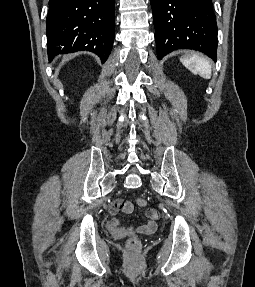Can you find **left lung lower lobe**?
Returning a JSON list of instances; mask_svg holds the SVG:
<instances>
[{
    "instance_id": "obj_1",
    "label": "left lung lower lobe",
    "mask_w": 255,
    "mask_h": 287,
    "mask_svg": "<svg viewBox=\"0 0 255 287\" xmlns=\"http://www.w3.org/2000/svg\"><path fill=\"white\" fill-rule=\"evenodd\" d=\"M158 59L186 48L216 61L217 24L212 0H150Z\"/></svg>"
}]
</instances>
